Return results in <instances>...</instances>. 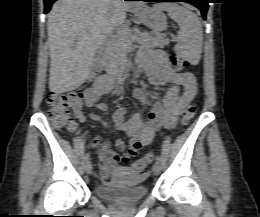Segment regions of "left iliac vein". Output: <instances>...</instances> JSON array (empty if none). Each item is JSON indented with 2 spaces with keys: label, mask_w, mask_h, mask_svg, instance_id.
Wrapping results in <instances>:
<instances>
[{
  "label": "left iliac vein",
  "mask_w": 260,
  "mask_h": 217,
  "mask_svg": "<svg viewBox=\"0 0 260 217\" xmlns=\"http://www.w3.org/2000/svg\"><path fill=\"white\" fill-rule=\"evenodd\" d=\"M160 170H161V167H160V164L159 163H154V165L152 166V171H153V174L154 175H159L160 174Z\"/></svg>",
  "instance_id": "left-iliac-vein-1"
}]
</instances>
